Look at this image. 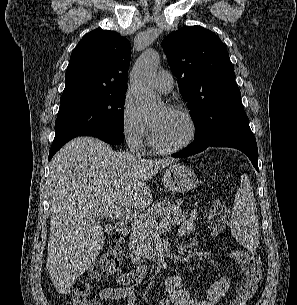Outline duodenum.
<instances>
[{"mask_svg": "<svg viewBox=\"0 0 297 305\" xmlns=\"http://www.w3.org/2000/svg\"><path fill=\"white\" fill-rule=\"evenodd\" d=\"M116 229L123 238H129L131 231L130 227L126 223L118 222L116 225ZM128 257L131 262L137 266H141L143 263L142 256L133 250L131 242L129 243Z\"/></svg>", "mask_w": 297, "mask_h": 305, "instance_id": "1", "label": "duodenum"}]
</instances>
